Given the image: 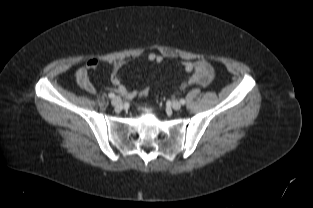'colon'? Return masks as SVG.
I'll return each mask as SVG.
<instances>
[{"label":"colon","instance_id":"colon-1","mask_svg":"<svg viewBox=\"0 0 313 208\" xmlns=\"http://www.w3.org/2000/svg\"><path fill=\"white\" fill-rule=\"evenodd\" d=\"M148 93H149L148 88H144V89H142V90L139 92V95L142 96V97H145V96L148 95Z\"/></svg>","mask_w":313,"mask_h":208}]
</instances>
